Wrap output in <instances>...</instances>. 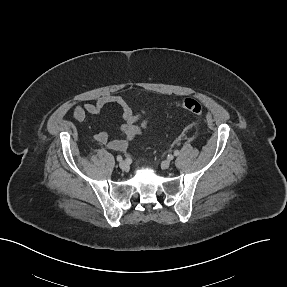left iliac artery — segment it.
Segmentation results:
<instances>
[{
  "label": "left iliac artery",
  "instance_id": "left-iliac-artery-1",
  "mask_svg": "<svg viewBox=\"0 0 287 287\" xmlns=\"http://www.w3.org/2000/svg\"><path fill=\"white\" fill-rule=\"evenodd\" d=\"M174 155H175V156H178V155H179V151H178V150H175V151H174Z\"/></svg>",
  "mask_w": 287,
  "mask_h": 287
}]
</instances>
